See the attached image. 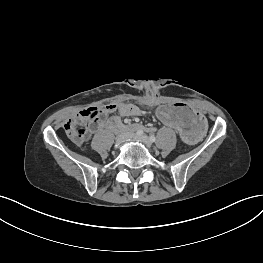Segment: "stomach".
Wrapping results in <instances>:
<instances>
[{
    "mask_svg": "<svg viewBox=\"0 0 263 263\" xmlns=\"http://www.w3.org/2000/svg\"><path fill=\"white\" fill-rule=\"evenodd\" d=\"M154 118L158 124L180 131L182 140L188 144L199 142L205 133L203 116L182 103L158 105L154 111Z\"/></svg>",
    "mask_w": 263,
    "mask_h": 263,
    "instance_id": "stomach-1",
    "label": "stomach"
}]
</instances>
